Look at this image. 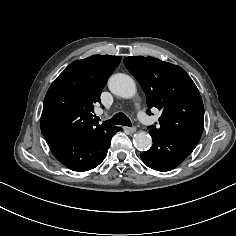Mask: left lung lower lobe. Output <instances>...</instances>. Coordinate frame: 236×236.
<instances>
[{
  "mask_svg": "<svg viewBox=\"0 0 236 236\" xmlns=\"http://www.w3.org/2000/svg\"><path fill=\"white\" fill-rule=\"evenodd\" d=\"M153 139L152 147L141 152L142 161L157 171H170L181 164L194 150L201 138L198 133L159 134L150 131Z\"/></svg>",
  "mask_w": 236,
  "mask_h": 236,
  "instance_id": "0a47b994",
  "label": "left lung lower lobe"
}]
</instances>
